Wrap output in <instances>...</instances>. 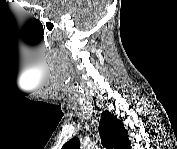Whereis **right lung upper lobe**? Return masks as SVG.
<instances>
[{
    "label": "right lung upper lobe",
    "instance_id": "right-lung-upper-lobe-1",
    "mask_svg": "<svg viewBox=\"0 0 177 149\" xmlns=\"http://www.w3.org/2000/svg\"><path fill=\"white\" fill-rule=\"evenodd\" d=\"M101 143L106 148L128 149L130 141L123 123L109 111L102 113L100 121ZM64 149H80L78 138H72L64 146Z\"/></svg>",
    "mask_w": 177,
    "mask_h": 149
}]
</instances>
